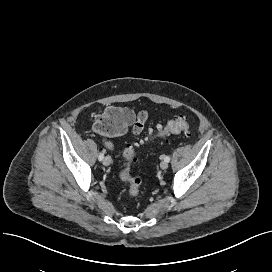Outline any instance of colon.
Masks as SVG:
<instances>
[{
    "label": "colon",
    "mask_w": 272,
    "mask_h": 272,
    "mask_svg": "<svg viewBox=\"0 0 272 272\" xmlns=\"http://www.w3.org/2000/svg\"><path fill=\"white\" fill-rule=\"evenodd\" d=\"M131 120V114L118 107H110L106 109L101 115H99L93 124V129L96 133L103 136H117L123 134ZM144 126V120L138 119L132 128L134 135H139ZM191 131V125L188 120L180 115L176 116L167 122L163 126H158L155 130L150 131L149 138H163L170 134L185 133L189 134ZM141 143L134 145H127L122 151V157L124 160L123 167L120 171V178L128 185V196L136 197L142 185V179L138 176L131 175V164L136 160V154Z\"/></svg>",
    "instance_id": "1"
}]
</instances>
